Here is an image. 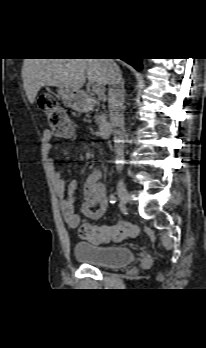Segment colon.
<instances>
[{
  "label": "colon",
  "instance_id": "5ec220e1",
  "mask_svg": "<svg viewBox=\"0 0 206 348\" xmlns=\"http://www.w3.org/2000/svg\"><path fill=\"white\" fill-rule=\"evenodd\" d=\"M39 108L46 115L53 135L64 138L74 135L70 119L54 96H41ZM79 234L93 243L121 242L126 238L136 237L139 234V227L132 222H119L112 226L85 224L80 227Z\"/></svg>",
  "mask_w": 206,
  "mask_h": 348
}]
</instances>
